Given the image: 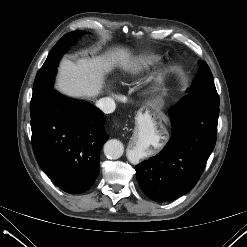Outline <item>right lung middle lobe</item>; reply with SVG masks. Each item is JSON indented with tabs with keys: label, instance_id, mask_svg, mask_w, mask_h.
Returning a JSON list of instances; mask_svg holds the SVG:
<instances>
[{
	"label": "right lung middle lobe",
	"instance_id": "right-lung-middle-lobe-1",
	"mask_svg": "<svg viewBox=\"0 0 247 247\" xmlns=\"http://www.w3.org/2000/svg\"><path fill=\"white\" fill-rule=\"evenodd\" d=\"M82 33V31H74L65 34L52 48L45 63L37 72L30 103L31 116L43 105L48 95L53 90L56 67L58 66L62 54L67 51Z\"/></svg>",
	"mask_w": 247,
	"mask_h": 247
}]
</instances>
